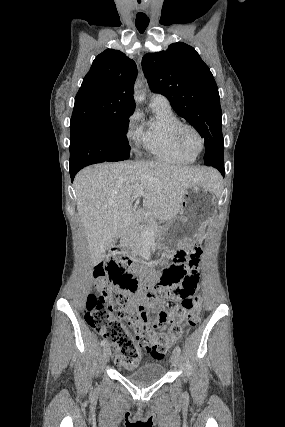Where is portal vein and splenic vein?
<instances>
[{
  "label": "portal vein and splenic vein",
  "instance_id": "18ae733b",
  "mask_svg": "<svg viewBox=\"0 0 285 427\" xmlns=\"http://www.w3.org/2000/svg\"><path fill=\"white\" fill-rule=\"evenodd\" d=\"M135 189L139 192V194L143 195V190L139 185H135Z\"/></svg>",
  "mask_w": 285,
  "mask_h": 427
}]
</instances>
